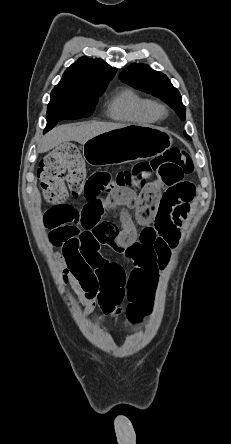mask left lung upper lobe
I'll list each match as a JSON object with an SVG mask.
<instances>
[{
    "mask_svg": "<svg viewBox=\"0 0 231 444\" xmlns=\"http://www.w3.org/2000/svg\"><path fill=\"white\" fill-rule=\"evenodd\" d=\"M119 79L136 89L162 99L179 114L182 120H185L186 108L182 103L181 95L166 75L144 64H132L119 75ZM186 137L191 139L188 135Z\"/></svg>",
    "mask_w": 231,
    "mask_h": 444,
    "instance_id": "1",
    "label": "left lung upper lobe"
}]
</instances>
